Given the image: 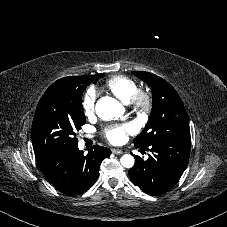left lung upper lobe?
I'll return each mask as SVG.
<instances>
[{
  "mask_svg": "<svg viewBox=\"0 0 227 227\" xmlns=\"http://www.w3.org/2000/svg\"><path fill=\"white\" fill-rule=\"evenodd\" d=\"M132 74L144 81L153 94L151 116L145 129L134 139V145L149 146L161 141L190 139L188 117L175 89L152 73L132 71Z\"/></svg>",
  "mask_w": 227,
  "mask_h": 227,
  "instance_id": "1",
  "label": "left lung upper lobe"
}]
</instances>
